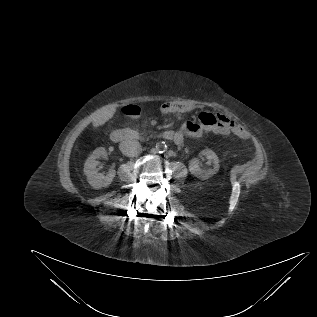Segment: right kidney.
<instances>
[{"label": "right kidney", "instance_id": "obj_1", "mask_svg": "<svg viewBox=\"0 0 317 317\" xmlns=\"http://www.w3.org/2000/svg\"><path fill=\"white\" fill-rule=\"evenodd\" d=\"M106 156V149L99 147L93 151L84 164V173L87 176V181L95 189H101L102 187L110 185L115 177V170L110 169L105 175L104 173H100L97 168L99 159L105 158Z\"/></svg>", "mask_w": 317, "mask_h": 317}]
</instances>
